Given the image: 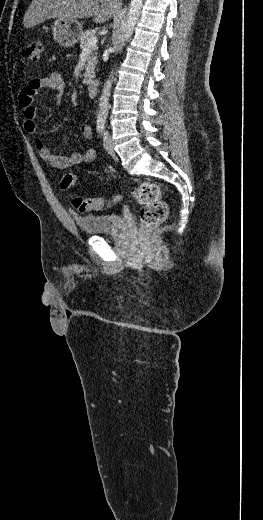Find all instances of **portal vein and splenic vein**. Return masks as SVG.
<instances>
[{
  "label": "portal vein and splenic vein",
  "mask_w": 263,
  "mask_h": 520,
  "mask_svg": "<svg viewBox=\"0 0 263 520\" xmlns=\"http://www.w3.org/2000/svg\"><path fill=\"white\" fill-rule=\"evenodd\" d=\"M96 44H97V38L92 37L88 40L87 47H85V49L94 48L96 46Z\"/></svg>",
  "instance_id": "portal-vein-and-splenic-vein-1"
}]
</instances>
